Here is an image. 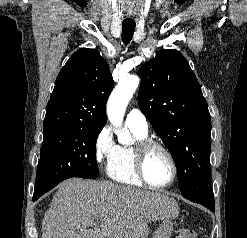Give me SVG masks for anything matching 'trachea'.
Masks as SVG:
<instances>
[{"mask_svg":"<svg viewBox=\"0 0 247 238\" xmlns=\"http://www.w3.org/2000/svg\"><path fill=\"white\" fill-rule=\"evenodd\" d=\"M135 22L124 20L122 23V41L125 45L129 44L135 31Z\"/></svg>","mask_w":247,"mask_h":238,"instance_id":"obj_1","label":"trachea"}]
</instances>
